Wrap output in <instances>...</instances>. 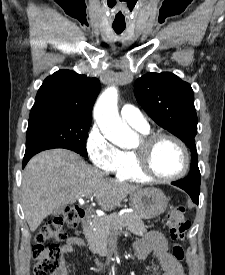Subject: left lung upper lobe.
<instances>
[{
	"mask_svg": "<svg viewBox=\"0 0 225 275\" xmlns=\"http://www.w3.org/2000/svg\"><path fill=\"white\" fill-rule=\"evenodd\" d=\"M134 91L138 103L148 115L191 149L189 175L200 177L194 139L197 115L190 84L170 72L147 73L136 80Z\"/></svg>",
	"mask_w": 225,
	"mask_h": 275,
	"instance_id": "obj_1",
	"label": "left lung upper lobe"
}]
</instances>
